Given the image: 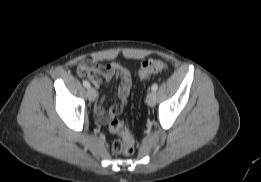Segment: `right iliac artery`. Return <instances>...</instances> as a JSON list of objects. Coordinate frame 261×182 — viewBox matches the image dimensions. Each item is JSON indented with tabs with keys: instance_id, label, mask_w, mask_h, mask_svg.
Returning a JSON list of instances; mask_svg holds the SVG:
<instances>
[{
	"instance_id": "1",
	"label": "right iliac artery",
	"mask_w": 261,
	"mask_h": 182,
	"mask_svg": "<svg viewBox=\"0 0 261 182\" xmlns=\"http://www.w3.org/2000/svg\"><path fill=\"white\" fill-rule=\"evenodd\" d=\"M83 85L86 88H90V83L88 81H83Z\"/></svg>"
}]
</instances>
